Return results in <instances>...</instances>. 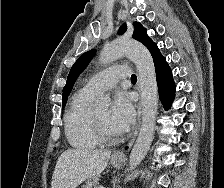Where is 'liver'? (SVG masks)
Wrapping results in <instances>:
<instances>
[{
  "mask_svg": "<svg viewBox=\"0 0 224 188\" xmlns=\"http://www.w3.org/2000/svg\"><path fill=\"white\" fill-rule=\"evenodd\" d=\"M111 151L68 149L59 156L51 188H76L86 179L99 175L107 166Z\"/></svg>",
  "mask_w": 224,
  "mask_h": 188,
  "instance_id": "obj_1",
  "label": "liver"
}]
</instances>
